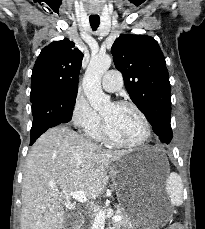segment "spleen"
<instances>
[{
	"label": "spleen",
	"instance_id": "obj_1",
	"mask_svg": "<svg viewBox=\"0 0 205 229\" xmlns=\"http://www.w3.org/2000/svg\"><path fill=\"white\" fill-rule=\"evenodd\" d=\"M166 191L170 202L174 206L183 203V183L181 177L176 172H171L166 180Z\"/></svg>",
	"mask_w": 205,
	"mask_h": 229
}]
</instances>
